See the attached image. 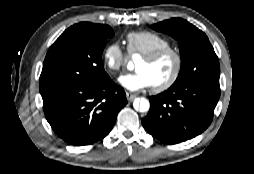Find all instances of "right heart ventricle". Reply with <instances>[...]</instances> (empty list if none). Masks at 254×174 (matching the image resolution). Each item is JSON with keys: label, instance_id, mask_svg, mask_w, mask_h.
Listing matches in <instances>:
<instances>
[{"label": "right heart ventricle", "instance_id": "1", "mask_svg": "<svg viewBox=\"0 0 254 174\" xmlns=\"http://www.w3.org/2000/svg\"><path fill=\"white\" fill-rule=\"evenodd\" d=\"M126 40L131 55L144 56L156 49L171 45L170 40L164 35L148 30L130 32Z\"/></svg>", "mask_w": 254, "mask_h": 174}]
</instances>
